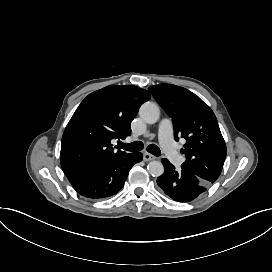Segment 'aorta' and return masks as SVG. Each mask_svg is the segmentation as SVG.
<instances>
[{
    "label": "aorta",
    "mask_w": 272,
    "mask_h": 272,
    "mask_svg": "<svg viewBox=\"0 0 272 272\" xmlns=\"http://www.w3.org/2000/svg\"><path fill=\"white\" fill-rule=\"evenodd\" d=\"M139 115L146 123L154 124L160 116L159 106L154 102H145L139 109ZM147 170L153 177H159L164 173L163 164L156 160L149 162Z\"/></svg>",
    "instance_id": "762f6f07"
}]
</instances>
